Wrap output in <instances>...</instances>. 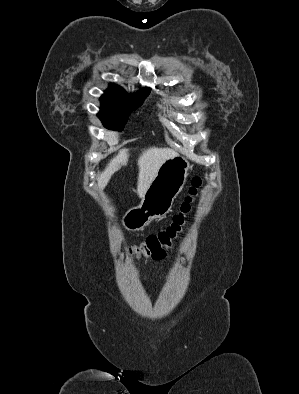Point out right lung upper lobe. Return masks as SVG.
Wrapping results in <instances>:
<instances>
[{
    "label": "right lung upper lobe",
    "mask_w": 299,
    "mask_h": 394,
    "mask_svg": "<svg viewBox=\"0 0 299 394\" xmlns=\"http://www.w3.org/2000/svg\"><path fill=\"white\" fill-rule=\"evenodd\" d=\"M150 89L149 88H144L141 90H138L134 95H144V94H149ZM115 93H126L121 87L115 85V84H110L109 89L105 92V95H111Z\"/></svg>",
    "instance_id": "cb5924a9"
}]
</instances>
